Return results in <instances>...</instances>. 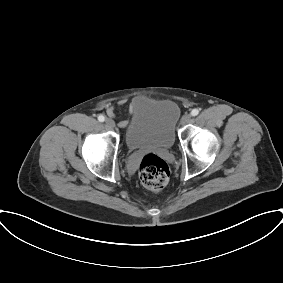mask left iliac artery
I'll list each match as a JSON object with an SVG mask.
<instances>
[{"instance_id": "left-iliac-artery-1", "label": "left iliac artery", "mask_w": 283, "mask_h": 283, "mask_svg": "<svg viewBox=\"0 0 283 283\" xmlns=\"http://www.w3.org/2000/svg\"><path fill=\"white\" fill-rule=\"evenodd\" d=\"M198 114H199V110L196 108L191 111L192 116H197Z\"/></svg>"}]
</instances>
